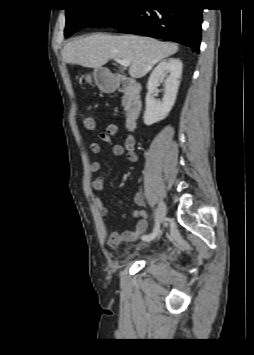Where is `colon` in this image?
Instances as JSON below:
<instances>
[{
	"label": "colon",
	"mask_w": 254,
	"mask_h": 355,
	"mask_svg": "<svg viewBox=\"0 0 254 355\" xmlns=\"http://www.w3.org/2000/svg\"><path fill=\"white\" fill-rule=\"evenodd\" d=\"M83 128L86 131L93 132L97 129V122L94 117L86 115L82 119Z\"/></svg>",
	"instance_id": "5ec220e1"
}]
</instances>
